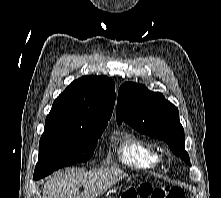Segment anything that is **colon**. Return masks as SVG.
I'll return each mask as SVG.
<instances>
[{"label": "colon", "mask_w": 221, "mask_h": 198, "mask_svg": "<svg viewBox=\"0 0 221 198\" xmlns=\"http://www.w3.org/2000/svg\"><path fill=\"white\" fill-rule=\"evenodd\" d=\"M121 198H184V191L175 186L153 187L150 183L143 182L125 190Z\"/></svg>", "instance_id": "colon-1"}]
</instances>
